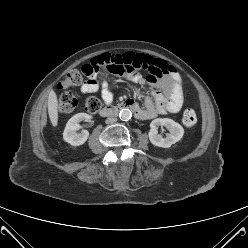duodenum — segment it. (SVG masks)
I'll list each match as a JSON object with an SVG mask.
<instances>
[{
    "label": "duodenum",
    "mask_w": 248,
    "mask_h": 248,
    "mask_svg": "<svg viewBox=\"0 0 248 248\" xmlns=\"http://www.w3.org/2000/svg\"><path fill=\"white\" fill-rule=\"evenodd\" d=\"M126 108L132 110L136 115L140 113V107L135 102L126 101L117 106H107V107L102 108L99 112V115L101 117L115 116L120 111Z\"/></svg>",
    "instance_id": "duodenum-1"
}]
</instances>
